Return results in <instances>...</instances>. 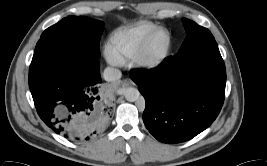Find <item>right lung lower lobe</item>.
<instances>
[{"instance_id":"1","label":"right lung lower lobe","mask_w":267,"mask_h":166,"mask_svg":"<svg viewBox=\"0 0 267 166\" xmlns=\"http://www.w3.org/2000/svg\"><path fill=\"white\" fill-rule=\"evenodd\" d=\"M101 82L98 55L64 37L40 38L29 87L40 118L54 132L84 141L104 129L111 110Z\"/></svg>"}]
</instances>
